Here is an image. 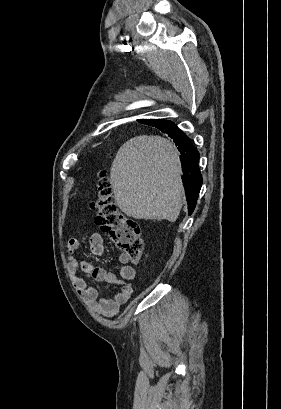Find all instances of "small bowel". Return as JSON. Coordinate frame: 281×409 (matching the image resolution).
I'll return each mask as SVG.
<instances>
[{"label": "small bowel", "instance_id": "small-bowel-1", "mask_svg": "<svg viewBox=\"0 0 281 409\" xmlns=\"http://www.w3.org/2000/svg\"><path fill=\"white\" fill-rule=\"evenodd\" d=\"M79 240L70 238L67 242V249L70 253L77 251ZM89 248L93 255L102 256L104 245L102 238L97 233H92L89 239ZM123 259V258H122ZM81 271L90 275L95 281L106 282L120 286L119 291L112 298H99L98 291L89 285L82 277L77 275ZM68 274L73 280L77 292L87 301L98 313L106 317H112L118 313L133 294L132 282L136 277V270L131 265H124L120 269L119 276L106 271L100 266H96L89 261L79 260L71 257L68 263Z\"/></svg>", "mask_w": 281, "mask_h": 409}]
</instances>
